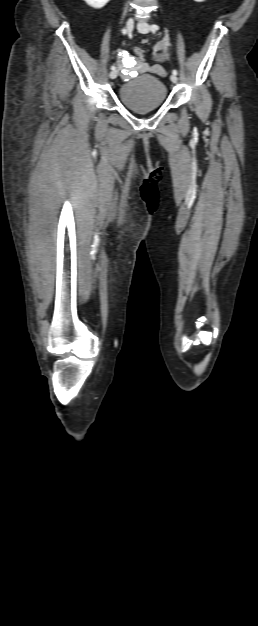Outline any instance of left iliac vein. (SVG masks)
<instances>
[{"mask_svg":"<svg viewBox=\"0 0 258 626\" xmlns=\"http://www.w3.org/2000/svg\"><path fill=\"white\" fill-rule=\"evenodd\" d=\"M137 29L139 30V32L144 33V34H145V33H148V32H149V30H150L148 23H146V22H144V21H140V22L137 24ZM170 80H171L173 83H177L178 78H177V76H176V75L172 74V75L170 76Z\"/></svg>","mask_w":258,"mask_h":626,"instance_id":"1","label":"left iliac vein"}]
</instances>
